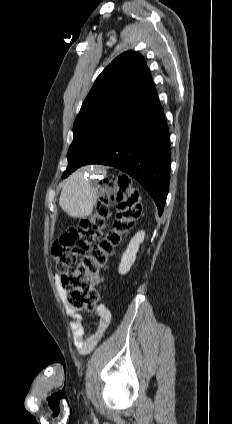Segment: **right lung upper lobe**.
<instances>
[{
  "label": "right lung upper lobe",
  "mask_w": 232,
  "mask_h": 424,
  "mask_svg": "<svg viewBox=\"0 0 232 424\" xmlns=\"http://www.w3.org/2000/svg\"><path fill=\"white\" fill-rule=\"evenodd\" d=\"M157 95L150 70L141 54L118 56L96 79L80 112L107 104L134 106Z\"/></svg>",
  "instance_id": "1"
}]
</instances>
